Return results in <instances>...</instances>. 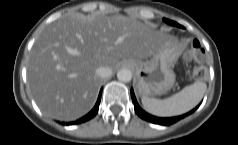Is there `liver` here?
I'll return each mask as SVG.
<instances>
[{
    "instance_id": "liver-1",
    "label": "liver",
    "mask_w": 238,
    "mask_h": 145,
    "mask_svg": "<svg viewBox=\"0 0 238 145\" xmlns=\"http://www.w3.org/2000/svg\"><path fill=\"white\" fill-rule=\"evenodd\" d=\"M167 42L166 35L123 15L66 14L35 40L27 65L30 92L45 115L78 119L96 101L98 67L148 58Z\"/></svg>"
}]
</instances>
